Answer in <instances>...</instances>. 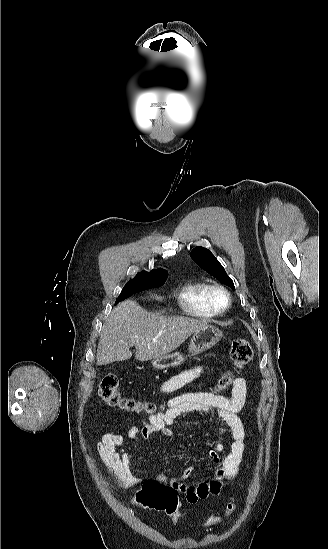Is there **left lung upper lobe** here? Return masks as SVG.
Instances as JSON below:
<instances>
[{
	"instance_id": "5c2ea615",
	"label": "left lung upper lobe",
	"mask_w": 328,
	"mask_h": 549,
	"mask_svg": "<svg viewBox=\"0 0 328 549\" xmlns=\"http://www.w3.org/2000/svg\"><path fill=\"white\" fill-rule=\"evenodd\" d=\"M191 257L194 262L206 272L213 275L216 279L220 280L232 289L235 288L232 279L227 275L224 267L215 258L210 250L200 246L196 247L191 251Z\"/></svg>"
}]
</instances>
